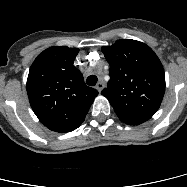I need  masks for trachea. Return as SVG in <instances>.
<instances>
[{
	"mask_svg": "<svg viewBox=\"0 0 187 187\" xmlns=\"http://www.w3.org/2000/svg\"><path fill=\"white\" fill-rule=\"evenodd\" d=\"M97 81H98V78H97L96 75H90V76L87 78V80H86L87 85H89V86H95L96 83H97Z\"/></svg>",
	"mask_w": 187,
	"mask_h": 187,
	"instance_id": "obj_1",
	"label": "trachea"
}]
</instances>
